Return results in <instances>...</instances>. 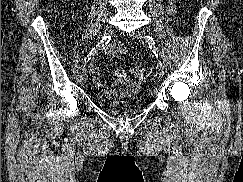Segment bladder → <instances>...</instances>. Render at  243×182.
Returning <instances> with one entry per match:
<instances>
[{"instance_id":"31cf9c89","label":"bladder","mask_w":243,"mask_h":182,"mask_svg":"<svg viewBox=\"0 0 243 182\" xmlns=\"http://www.w3.org/2000/svg\"><path fill=\"white\" fill-rule=\"evenodd\" d=\"M96 102L101 109L115 115L135 114L144 108L143 100L138 95L119 97L109 91L99 92Z\"/></svg>"}]
</instances>
